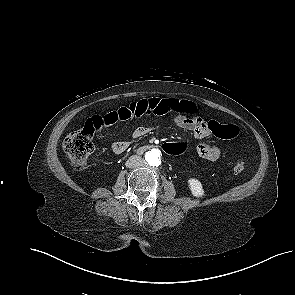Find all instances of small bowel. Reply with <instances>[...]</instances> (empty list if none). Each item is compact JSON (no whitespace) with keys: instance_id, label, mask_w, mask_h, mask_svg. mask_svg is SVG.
Returning <instances> with one entry per match:
<instances>
[{"instance_id":"1","label":"small bowel","mask_w":295,"mask_h":295,"mask_svg":"<svg viewBox=\"0 0 295 295\" xmlns=\"http://www.w3.org/2000/svg\"><path fill=\"white\" fill-rule=\"evenodd\" d=\"M181 104L182 101L174 98H143L101 116L103 128H108L116 123L126 122L147 114L163 116L172 113L175 115V123L177 126L191 131L198 139L208 137L211 133L208 127L209 122L198 116H187V114L182 111ZM152 129L153 128L149 126H139L133 131L132 138L139 139L150 133ZM129 146V140H118L112 143L111 149L115 154H122ZM197 153L204 160L215 161L220 157L221 150L217 146L201 143L197 147Z\"/></svg>"}]
</instances>
